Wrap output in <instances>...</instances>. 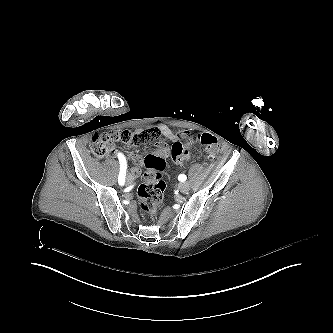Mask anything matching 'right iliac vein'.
<instances>
[{"label": "right iliac vein", "instance_id": "63e3f726", "mask_svg": "<svg viewBox=\"0 0 333 333\" xmlns=\"http://www.w3.org/2000/svg\"><path fill=\"white\" fill-rule=\"evenodd\" d=\"M133 180H134L133 175L131 173H128L127 177H126V184L128 185V184L132 183Z\"/></svg>", "mask_w": 333, "mask_h": 333}]
</instances>
